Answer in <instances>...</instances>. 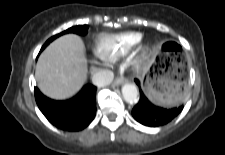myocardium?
<instances>
[{
    "label": "myocardium",
    "instance_id": "obj_1",
    "mask_svg": "<svg viewBox=\"0 0 225 155\" xmlns=\"http://www.w3.org/2000/svg\"><path fill=\"white\" fill-rule=\"evenodd\" d=\"M152 48H153V45L151 42L144 43L140 47L138 55L132 61V66L136 69H139L142 66L144 60L151 54Z\"/></svg>",
    "mask_w": 225,
    "mask_h": 155
}]
</instances>
